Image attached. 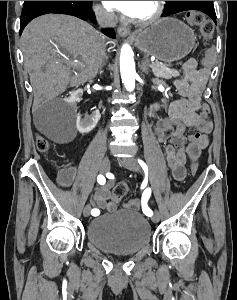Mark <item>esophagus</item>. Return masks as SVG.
<instances>
[{
  "label": "esophagus",
  "mask_w": 237,
  "mask_h": 300,
  "mask_svg": "<svg viewBox=\"0 0 237 300\" xmlns=\"http://www.w3.org/2000/svg\"><path fill=\"white\" fill-rule=\"evenodd\" d=\"M117 32L119 36L126 37L128 36L129 38H135V35L132 34L127 26H119L117 29Z\"/></svg>",
  "instance_id": "esophagus-1"
}]
</instances>
